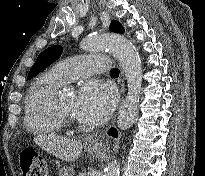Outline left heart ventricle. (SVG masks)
I'll use <instances>...</instances> for the list:
<instances>
[{
    "mask_svg": "<svg viewBox=\"0 0 205 176\" xmlns=\"http://www.w3.org/2000/svg\"><path fill=\"white\" fill-rule=\"evenodd\" d=\"M59 101L62 105V107L72 113L73 115H75V108H76V97L74 95L72 96H63L59 98Z\"/></svg>",
    "mask_w": 205,
    "mask_h": 176,
    "instance_id": "1",
    "label": "left heart ventricle"
}]
</instances>
